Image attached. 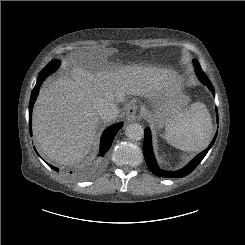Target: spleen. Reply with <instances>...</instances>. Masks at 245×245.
I'll return each instance as SVG.
<instances>
[{
    "label": "spleen",
    "mask_w": 245,
    "mask_h": 245,
    "mask_svg": "<svg viewBox=\"0 0 245 245\" xmlns=\"http://www.w3.org/2000/svg\"><path fill=\"white\" fill-rule=\"evenodd\" d=\"M165 130L167 142L183 151H201L213 136L210 113L200 102L192 104L178 120L166 125Z\"/></svg>",
    "instance_id": "spleen-1"
}]
</instances>
